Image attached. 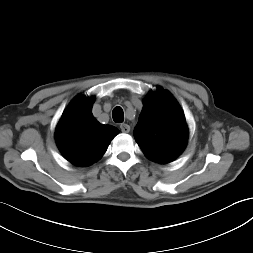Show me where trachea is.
<instances>
[{"label":"trachea","instance_id":"trachea-1","mask_svg":"<svg viewBox=\"0 0 253 253\" xmlns=\"http://www.w3.org/2000/svg\"><path fill=\"white\" fill-rule=\"evenodd\" d=\"M112 117L114 122L122 123L124 121V114L121 107L117 106L112 111Z\"/></svg>","mask_w":253,"mask_h":253}]
</instances>
